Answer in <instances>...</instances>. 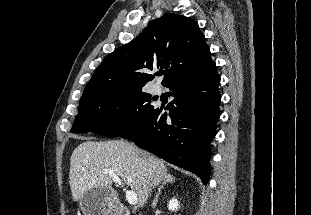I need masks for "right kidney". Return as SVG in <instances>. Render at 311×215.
<instances>
[{
    "label": "right kidney",
    "mask_w": 311,
    "mask_h": 215,
    "mask_svg": "<svg viewBox=\"0 0 311 215\" xmlns=\"http://www.w3.org/2000/svg\"><path fill=\"white\" fill-rule=\"evenodd\" d=\"M178 207H179V202H178V200L177 199H171L170 201H169V204H168V208H169V210H171V211H176V210H178Z\"/></svg>",
    "instance_id": "right-kidney-1"
}]
</instances>
